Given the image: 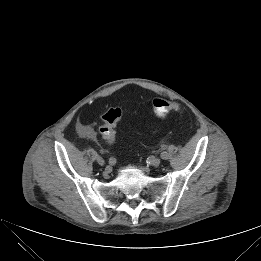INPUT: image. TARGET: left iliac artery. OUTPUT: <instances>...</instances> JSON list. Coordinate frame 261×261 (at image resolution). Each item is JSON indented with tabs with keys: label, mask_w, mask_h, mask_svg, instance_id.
I'll list each match as a JSON object with an SVG mask.
<instances>
[{
	"label": "left iliac artery",
	"mask_w": 261,
	"mask_h": 261,
	"mask_svg": "<svg viewBox=\"0 0 261 261\" xmlns=\"http://www.w3.org/2000/svg\"><path fill=\"white\" fill-rule=\"evenodd\" d=\"M160 157L163 159V160H166L168 159V153L166 151H161L160 153Z\"/></svg>",
	"instance_id": "left-iliac-artery-1"
}]
</instances>
